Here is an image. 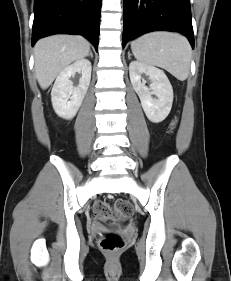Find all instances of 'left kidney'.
Listing matches in <instances>:
<instances>
[{
  "label": "left kidney",
  "mask_w": 231,
  "mask_h": 281,
  "mask_svg": "<svg viewBox=\"0 0 231 281\" xmlns=\"http://www.w3.org/2000/svg\"><path fill=\"white\" fill-rule=\"evenodd\" d=\"M129 75L147 118L153 123L162 122L170 113L173 102V89L165 73L154 66L132 61ZM142 75L149 76L151 88L145 85Z\"/></svg>",
  "instance_id": "5707ae66"
}]
</instances>
